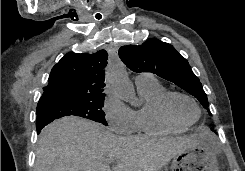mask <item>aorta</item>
<instances>
[{
  "label": "aorta",
  "instance_id": "762f6f07",
  "mask_svg": "<svg viewBox=\"0 0 245 171\" xmlns=\"http://www.w3.org/2000/svg\"><path fill=\"white\" fill-rule=\"evenodd\" d=\"M106 80L121 99L133 106L137 105L134 87L122 64L118 63L109 67L106 73Z\"/></svg>",
  "mask_w": 245,
  "mask_h": 171
}]
</instances>
